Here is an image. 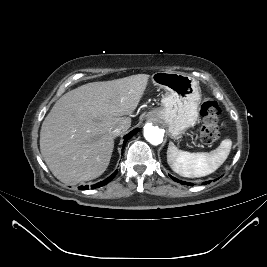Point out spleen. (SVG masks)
Masks as SVG:
<instances>
[{"instance_id": "spleen-1", "label": "spleen", "mask_w": 267, "mask_h": 267, "mask_svg": "<svg viewBox=\"0 0 267 267\" xmlns=\"http://www.w3.org/2000/svg\"><path fill=\"white\" fill-rule=\"evenodd\" d=\"M232 141L225 139L211 152L190 153L179 150L173 142L169 143L167 162L171 169L183 177H203L217 170L227 159Z\"/></svg>"}]
</instances>
